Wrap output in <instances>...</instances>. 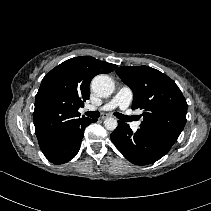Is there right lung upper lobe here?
<instances>
[{
    "instance_id": "1",
    "label": "right lung upper lobe",
    "mask_w": 211,
    "mask_h": 211,
    "mask_svg": "<svg viewBox=\"0 0 211 211\" xmlns=\"http://www.w3.org/2000/svg\"><path fill=\"white\" fill-rule=\"evenodd\" d=\"M117 66L91 56L64 61L42 80L33 113L40 147L74 125L87 120L78 109L90 96V82L98 74L112 72Z\"/></svg>"
}]
</instances>
